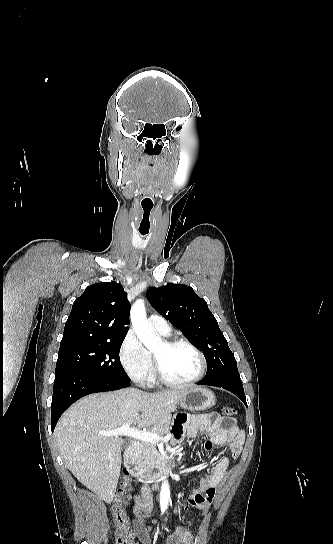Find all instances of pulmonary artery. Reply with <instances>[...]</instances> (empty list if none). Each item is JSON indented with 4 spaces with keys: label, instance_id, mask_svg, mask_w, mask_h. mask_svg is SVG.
<instances>
[{
    "label": "pulmonary artery",
    "instance_id": "e3ab8cb5",
    "mask_svg": "<svg viewBox=\"0 0 333 544\" xmlns=\"http://www.w3.org/2000/svg\"><path fill=\"white\" fill-rule=\"evenodd\" d=\"M148 322L158 333L169 335L170 327L163 317L153 314L148 318Z\"/></svg>",
    "mask_w": 333,
    "mask_h": 544
}]
</instances>
